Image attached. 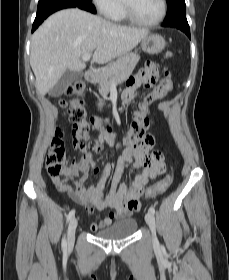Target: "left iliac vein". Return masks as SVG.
<instances>
[{"instance_id":"4c4485c4","label":"left iliac vein","mask_w":229,"mask_h":280,"mask_svg":"<svg viewBox=\"0 0 229 280\" xmlns=\"http://www.w3.org/2000/svg\"><path fill=\"white\" fill-rule=\"evenodd\" d=\"M145 220L147 225L149 226L152 235H153V240L156 242V236H155V218L154 215L151 212H147L145 215Z\"/></svg>"}]
</instances>
